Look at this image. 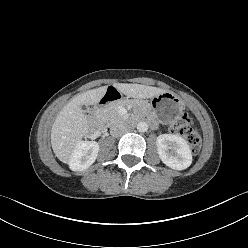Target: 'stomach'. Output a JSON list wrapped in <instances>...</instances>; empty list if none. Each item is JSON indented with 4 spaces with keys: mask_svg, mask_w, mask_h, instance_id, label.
I'll use <instances>...</instances> for the list:
<instances>
[{
    "mask_svg": "<svg viewBox=\"0 0 248 248\" xmlns=\"http://www.w3.org/2000/svg\"><path fill=\"white\" fill-rule=\"evenodd\" d=\"M149 109L161 122L174 121L183 110L181 99L171 92H163L151 99Z\"/></svg>",
    "mask_w": 248,
    "mask_h": 248,
    "instance_id": "0dacf381",
    "label": "stomach"
}]
</instances>
